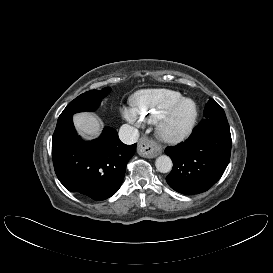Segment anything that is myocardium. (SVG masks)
Here are the masks:
<instances>
[{"mask_svg": "<svg viewBox=\"0 0 273 273\" xmlns=\"http://www.w3.org/2000/svg\"><path fill=\"white\" fill-rule=\"evenodd\" d=\"M192 106V112L186 123L180 128H173L172 123L176 114L186 105ZM198 118L196 103L189 98H183L172 105L157 121L156 134L158 138L166 143L177 144L185 140L193 131Z\"/></svg>", "mask_w": 273, "mask_h": 273, "instance_id": "obj_1", "label": "myocardium"}]
</instances>
